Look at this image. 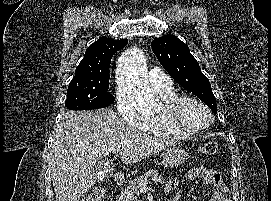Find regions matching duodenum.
<instances>
[{
  "label": "duodenum",
  "instance_id": "obj_1",
  "mask_svg": "<svg viewBox=\"0 0 271 201\" xmlns=\"http://www.w3.org/2000/svg\"><path fill=\"white\" fill-rule=\"evenodd\" d=\"M124 182V174L122 172H117L112 180L114 186H120Z\"/></svg>",
  "mask_w": 271,
  "mask_h": 201
}]
</instances>
